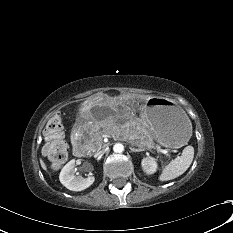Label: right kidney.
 <instances>
[{"label": "right kidney", "mask_w": 233, "mask_h": 233, "mask_svg": "<svg viewBox=\"0 0 233 233\" xmlns=\"http://www.w3.org/2000/svg\"><path fill=\"white\" fill-rule=\"evenodd\" d=\"M75 160L69 161L61 170L59 179L60 182L69 190L82 191L91 186L95 180L94 176L83 178L75 176Z\"/></svg>", "instance_id": "ca27d5eb"}]
</instances>
